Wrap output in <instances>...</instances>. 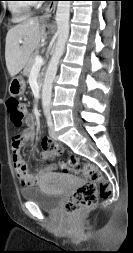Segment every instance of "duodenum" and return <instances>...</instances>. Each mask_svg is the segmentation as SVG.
<instances>
[{
	"instance_id": "410a0bca",
	"label": "duodenum",
	"mask_w": 133,
	"mask_h": 253,
	"mask_svg": "<svg viewBox=\"0 0 133 253\" xmlns=\"http://www.w3.org/2000/svg\"><path fill=\"white\" fill-rule=\"evenodd\" d=\"M38 87H39V90L42 89L43 87V80H40L39 83H38Z\"/></svg>"
}]
</instances>
